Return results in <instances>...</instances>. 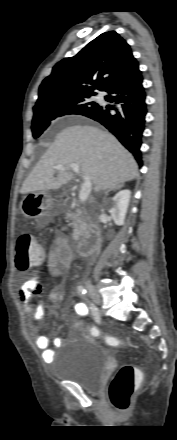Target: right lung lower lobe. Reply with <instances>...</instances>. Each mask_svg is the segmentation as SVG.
I'll return each mask as SVG.
<instances>
[{"mask_svg": "<svg viewBox=\"0 0 177 440\" xmlns=\"http://www.w3.org/2000/svg\"><path fill=\"white\" fill-rule=\"evenodd\" d=\"M139 68L112 84L105 99L114 106H99L84 114L104 125L133 154L142 166L140 147L145 128L147 105Z\"/></svg>", "mask_w": 177, "mask_h": 440, "instance_id": "1", "label": "right lung lower lobe"}]
</instances>
